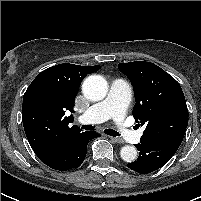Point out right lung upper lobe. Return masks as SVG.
Returning <instances> with one entry per match:
<instances>
[{"mask_svg":"<svg viewBox=\"0 0 201 201\" xmlns=\"http://www.w3.org/2000/svg\"><path fill=\"white\" fill-rule=\"evenodd\" d=\"M95 66L59 64L32 81L23 97L22 120L28 142L40 160L56 155L78 133L70 127L74 99L85 76L98 71Z\"/></svg>","mask_w":201,"mask_h":201,"instance_id":"cb5924a9","label":"right lung upper lobe"}]
</instances>
